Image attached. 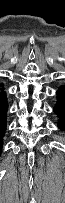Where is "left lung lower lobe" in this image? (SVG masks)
I'll return each instance as SVG.
<instances>
[{"mask_svg":"<svg viewBox=\"0 0 65 203\" xmlns=\"http://www.w3.org/2000/svg\"><path fill=\"white\" fill-rule=\"evenodd\" d=\"M57 102L54 106V113L58 117V128L65 132V85L57 91Z\"/></svg>","mask_w":65,"mask_h":203,"instance_id":"left-lung-lower-lobe-1","label":"left lung lower lobe"}]
</instances>
